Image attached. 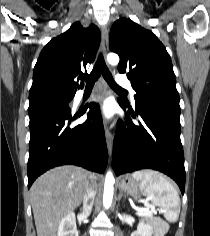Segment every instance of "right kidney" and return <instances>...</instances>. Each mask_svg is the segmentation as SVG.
I'll list each match as a JSON object with an SVG mask.
<instances>
[{"mask_svg": "<svg viewBox=\"0 0 210 236\" xmlns=\"http://www.w3.org/2000/svg\"><path fill=\"white\" fill-rule=\"evenodd\" d=\"M57 236H78L75 214L73 212L63 217L58 226Z\"/></svg>", "mask_w": 210, "mask_h": 236, "instance_id": "obj_1", "label": "right kidney"}]
</instances>
